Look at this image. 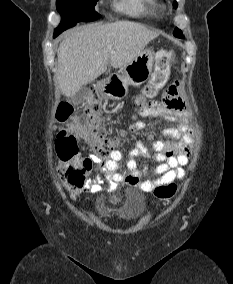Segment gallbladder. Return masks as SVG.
<instances>
[{
	"instance_id": "bac80fb5",
	"label": "gallbladder",
	"mask_w": 233,
	"mask_h": 284,
	"mask_svg": "<svg viewBox=\"0 0 233 284\" xmlns=\"http://www.w3.org/2000/svg\"><path fill=\"white\" fill-rule=\"evenodd\" d=\"M89 95V88L86 85H83L79 91L71 97V102L74 105L82 104L86 101L87 97Z\"/></svg>"
}]
</instances>
